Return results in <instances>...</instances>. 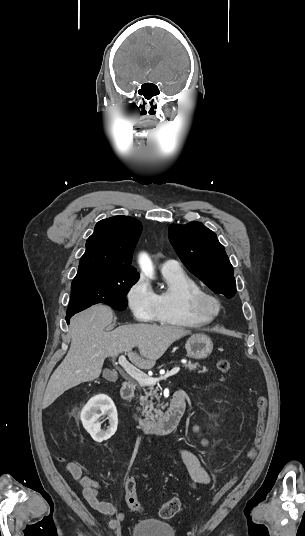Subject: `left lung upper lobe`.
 <instances>
[{
    "instance_id": "5c2ea615",
    "label": "left lung upper lobe",
    "mask_w": 305,
    "mask_h": 536,
    "mask_svg": "<svg viewBox=\"0 0 305 536\" xmlns=\"http://www.w3.org/2000/svg\"><path fill=\"white\" fill-rule=\"evenodd\" d=\"M169 240L188 270L216 293H236L234 270L214 232L202 223L171 224Z\"/></svg>"
}]
</instances>
